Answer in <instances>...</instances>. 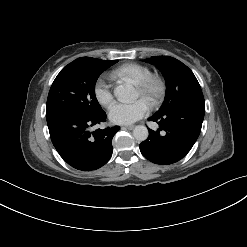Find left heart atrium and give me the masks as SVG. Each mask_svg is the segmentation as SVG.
I'll list each match as a JSON object with an SVG mask.
<instances>
[{"instance_id": "left-heart-atrium-1", "label": "left heart atrium", "mask_w": 247, "mask_h": 247, "mask_svg": "<svg viewBox=\"0 0 247 247\" xmlns=\"http://www.w3.org/2000/svg\"><path fill=\"white\" fill-rule=\"evenodd\" d=\"M149 105L146 100L117 102L110 107L109 118L117 124H131L147 115Z\"/></svg>"}]
</instances>
